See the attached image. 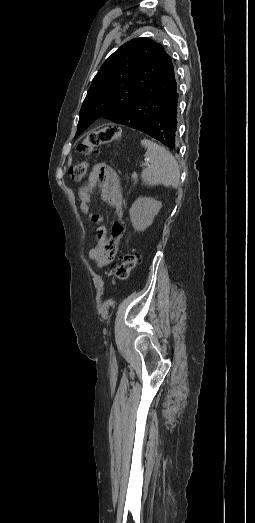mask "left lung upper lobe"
<instances>
[{
	"label": "left lung upper lobe",
	"mask_w": 255,
	"mask_h": 523,
	"mask_svg": "<svg viewBox=\"0 0 255 523\" xmlns=\"http://www.w3.org/2000/svg\"><path fill=\"white\" fill-rule=\"evenodd\" d=\"M174 94V67L163 46L149 38L128 41L93 78L79 113L75 137L101 116L129 127L155 121L153 115H163V107Z\"/></svg>",
	"instance_id": "5c2ea615"
}]
</instances>
